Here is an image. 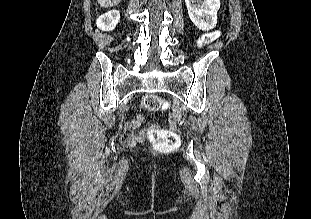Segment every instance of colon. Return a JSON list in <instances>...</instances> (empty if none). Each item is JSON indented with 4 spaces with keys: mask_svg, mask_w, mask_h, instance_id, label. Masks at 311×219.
Here are the masks:
<instances>
[{
    "mask_svg": "<svg viewBox=\"0 0 311 219\" xmlns=\"http://www.w3.org/2000/svg\"><path fill=\"white\" fill-rule=\"evenodd\" d=\"M142 107L148 111H158L167 108V105L160 97L150 94L143 99ZM147 136L161 152H169L179 143L177 135L170 130L151 127L147 131Z\"/></svg>",
    "mask_w": 311,
    "mask_h": 219,
    "instance_id": "obj_1",
    "label": "colon"
}]
</instances>
